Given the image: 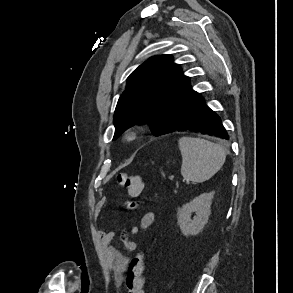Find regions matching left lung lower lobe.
Instances as JSON below:
<instances>
[{
	"label": "left lung lower lobe",
	"mask_w": 293,
	"mask_h": 293,
	"mask_svg": "<svg viewBox=\"0 0 293 293\" xmlns=\"http://www.w3.org/2000/svg\"><path fill=\"white\" fill-rule=\"evenodd\" d=\"M173 131H195L229 139L220 117L205 104L202 97L185 108Z\"/></svg>",
	"instance_id": "0a47b994"
}]
</instances>
